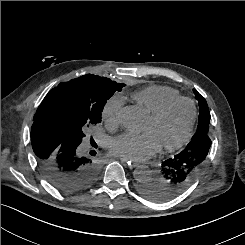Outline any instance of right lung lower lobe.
Instances as JSON below:
<instances>
[{
    "label": "right lung lower lobe",
    "instance_id": "98d812e1",
    "mask_svg": "<svg viewBox=\"0 0 245 245\" xmlns=\"http://www.w3.org/2000/svg\"><path fill=\"white\" fill-rule=\"evenodd\" d=\"M31 143L42 174L59 191L76 193L95 181L100 170L97 160L82 155L80 143L66 138L49 123L35 122Z\"/></svg>",
    "mask_w": 245,
    "mask_h": 245
}]
</instances>
